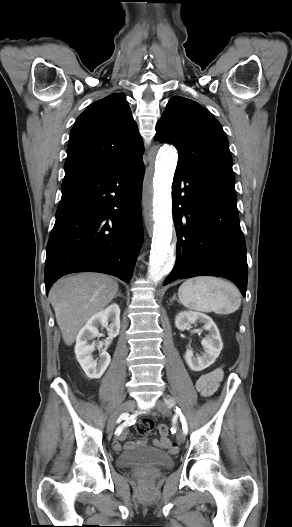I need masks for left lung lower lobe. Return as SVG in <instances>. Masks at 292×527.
Here are the masks:
<instances>
[{
	"label": "left lung lower lobe",
	"instance_id": "obj_1",
	"mask_svg": "<svg viewBox=\"0 0 292 527\" xmlns=\"http://www.w3.org/2000/svg\"><path fill=\"white\" fill-rule=\"evenodd\" d=\"M176 263L164 285L180 278L220 276L243 296L247 260L234 183L176 170L172 185Z\"/></svg>",
	"mask_w": 292,
	"mask_h": 527
}]
</instances>
